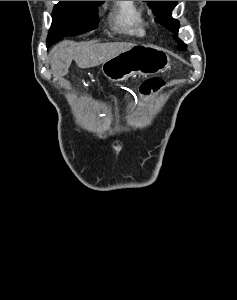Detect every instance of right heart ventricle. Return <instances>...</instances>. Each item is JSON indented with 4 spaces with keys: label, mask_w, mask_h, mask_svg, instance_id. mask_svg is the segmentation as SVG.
Wrapping results in <instances>:
<instances>
[{
    "label": "right heart ventricle",
    "mask_w": 237,
    "mask_h": 300,
    "mask_svg": "<svg viewBox=\"0 0 237 300\" xmlns=\"http://www.w3.org/2000/svg\"><path fill=\"white\" fill-rule=\"evenodd\" d=\"M143 7L137 1H113L110 14L112 25L131 33H143Z\"/></svg>",
    "instance_id": "e07e8e85"
}]
</instances>
